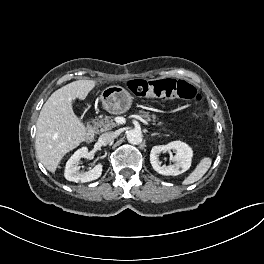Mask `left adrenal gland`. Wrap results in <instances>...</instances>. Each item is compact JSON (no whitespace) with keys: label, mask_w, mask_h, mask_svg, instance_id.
<instances>
[{"label":"left adrenal gland","mask_w":264,"mask_h":264,"mask_svg":"<svg viewBox=\"0 0 264 264\" xmlns=\"http://www.w3.org/2000/svg\"><path fill=\"white\" fill-rule=\"evenodd\" d=\"M156 135H159V133H152L151 136H156Z\"/></svg>","instance_id":"1"}]
</instances>
